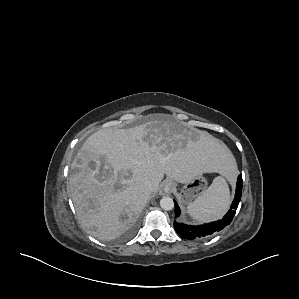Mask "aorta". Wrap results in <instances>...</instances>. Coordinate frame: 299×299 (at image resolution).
I'll return each instance as SVG.
<instances>
[{
    "label": "aorta",
    "instance_id": "1",
    "mask_svg": "<svg viewBox=\"0 0 299 299\" xmlns=\"http://www.w3.org/2000/svg\"><path fill=\"white\" fill-rule=\"evenodd\" d=\"M160 206L163 210L169 211L172 210L174 208V201L171 197H163L160 200Z\"/></svg>",
    "mask_w": 299,
    "mask_h": 299
}]
</instances>
